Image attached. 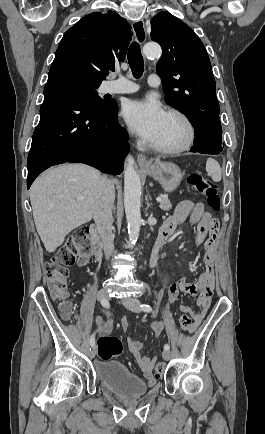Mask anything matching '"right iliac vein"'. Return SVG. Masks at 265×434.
Returning a JSON list of instances; mask_svg holds the SVG:
<instances>
[{"instance_id": "obj_1", "label": "right iliac vein", "mask_w": 265, "mask_h": 434, "mask_svg": "<svg viewBox=\"0 0 265 434\" xmlns=\"http://www.w3.org/2000/svg\"><path fill=\"white\" fill-rule=\"evenodd\" d=\"M98 299L99 300H109V296H108V293L105 291V290H100L99 292H98ZM96 352H97V348H96V346H93L91 349H90V351H89V355H90V357L91 358H94L95 357V355H96Z\"/></svg>"}]
</instances>
